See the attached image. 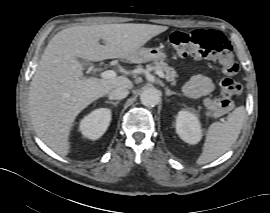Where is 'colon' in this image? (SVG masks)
Segmentation results:
<instances>
[{
	"mask_svg": "<svg viewBox=\"0 0 270 213\" xmlns=\"http://www.w3.org/2000/svg\"><path fill=\"white\" fill-rule=\"evenodd\" d=\"M166 43L181 57L216 60L227 76H233L238 71L230 43L217 30L199 29L190 33L176 31ZM220 85L222 96L205 100L207 109L214 116L226 113L232 107V97L241 92V85L230 77L222 79Z\"/></svg>",
	"mask_w": 270,
	"mask_h": 213,
	"instance_id": "colon-1",
	"label": "colon"
}]
</instances>
